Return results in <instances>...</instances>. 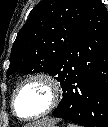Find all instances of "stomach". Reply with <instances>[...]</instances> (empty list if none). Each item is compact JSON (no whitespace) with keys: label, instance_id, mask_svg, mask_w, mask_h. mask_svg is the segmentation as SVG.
Wrapping results in <instances>:
<instances>
[{"label":"stomach","instance_id":"1","mask_svg":"<svg viewBox=\"0 0 108 127\" xmlns=\"http://www.w3.org/2000/svg\"><path fill=\"white\" fill-rule=\"evenodd\" d=\"M36 127H62L58 125L57 123L49 124V125H44V126H36ZM68 127V126H67Z\"/></svg>","mask_w":108,"mask_h":127}]
</instances>
